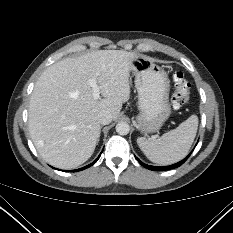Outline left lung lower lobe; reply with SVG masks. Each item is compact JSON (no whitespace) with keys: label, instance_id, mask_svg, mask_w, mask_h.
Returning <instances> with one entry per match:
<instances>
[{"label":"left lung lower lobe","instance_id":"left-lung-lower-lobe-1","mask_svg":"<svg viewBox=\"0 0 233 233\" xmlns=\"http://www.w3.org/2000/svg\"><path fill=\"white\" fill-rule=\"evenodd\" d=\"M190 154L185 159L181 160L180 162L175 163L173 165L164 166V167H156V166L147 165V164H144L143 162H141L138 158H136V159L138 160V162L141 165H143L145 168H148L149 170H152V171L169 170V169H173V168H177V167L181 166L188 159V157L190 156Z\"/></svg>","mask_w":233,"mask_h":233}]
</instances>
